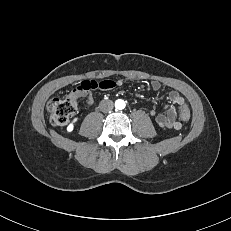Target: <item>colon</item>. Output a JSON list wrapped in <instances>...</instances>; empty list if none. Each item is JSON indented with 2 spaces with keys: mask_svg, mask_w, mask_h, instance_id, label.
<instances>
[{
  "mask_svg": "<svg viewBox=\"0 0 231 231\" xmlns=\"http://www.w3.org/2000/svg\"><path fill=\"white\" fill-rule=\"evenodd\" d=\"M77 109V98L73 94L66 97H56L51 99L47 104V110L50 116V122L54 126L66 125L71 116ZM180 118L186 122L190 119L189 108H183L180 112Z\"/></svg>",
  "mask_w": 231,
  "mask_h": 231,
  "instance_id": "1",
  "label": "colon"
}]
</instances>
